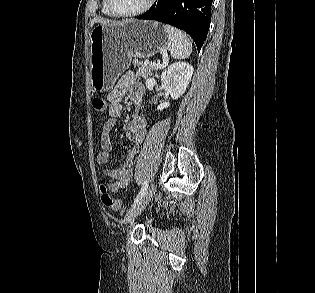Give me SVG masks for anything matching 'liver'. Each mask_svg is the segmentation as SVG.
I'll return each instance as SVG.
<instances>
[{"instance_id": "1", "label": "liver", "mask_w": 315, "mask_h": 293, "mask_svg": "<svg viewBox=\"0 0 315 293\" xmlns=\"http://www.w3.org/2000/svg\"><path fill=\"white\" fill-rule=\"evenodd\" d=\"M95 23H100V24H118L120 22H116V21L109 22V21H106V20L95 18V19L92 20L91 26H93Z\"/></svg>"}]
</instances>
